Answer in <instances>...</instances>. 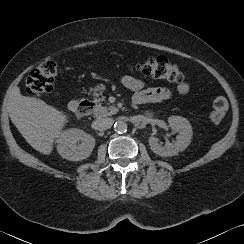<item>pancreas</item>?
I'll list each match as a JSON object with an SVG mask.
<instances>
[{
    "mask_svg": "<svg viewBox=\"0 0 244 244\" xmlns=\"http://www.w3.org/2000/svg\"><path fill=\"white\" fill-rule=\"evenodd\" d=\"M103 91H104V87H98L95 89L94 95L96 97H98L99 95L101 96V98L96 99V102L98 104H101V101L105 100V96H103ZM116 111H117V108L114 107L113 105H108V106L99 105L95 112V115L97 117H104V116L112 115V114L116 113Z\"/></svg>",
    "mask_w": 244,
    "mask_h": 244,
    "instance_id": "obj_1",
    "label": "pancreas"
}]
</instances>
